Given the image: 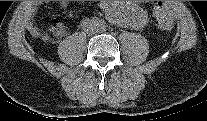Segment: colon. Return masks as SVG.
Listing matches in <instances>:
<instances>
[{
    "mask_svg": "<svg viewBox=\"0 0 207 121\" xmlns=\"http://www.w3.org/2000/svg\"><path fill=\"white\" fill-rule=\"evenodd\" d=\"M153 15L157 26L163 30L173 27L172 11L166 2H157L153 7Z\"/></svg>",
    "mask_w": 207,
    "mask_h": 121,
    "instance_id": "5ec220e1",
    "label": "colon"
}]
</instances>
